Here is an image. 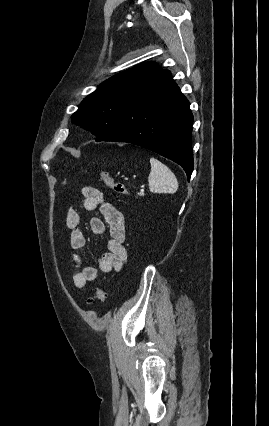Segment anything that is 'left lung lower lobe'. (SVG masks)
I'll list each match as a JSON object with an SVG mask.
<instances>
[{"label":"left lung lower lobe","instance_id":"left-lung-lower-lobe-1","mask_svg":"<svg viewBox=\"0 0 269 426\" xmlns=\"http://www.w3.org/2000/svg\"><path fill=\"white\" fill-rule=\"evenodd\" d=\"M193 115L189 102L168 70L135 93L113 134L103 141L128 142L181 165L188 180L193 171Z\"/></svg>","mask_w":269,"mask_h":426}]
</instances>
